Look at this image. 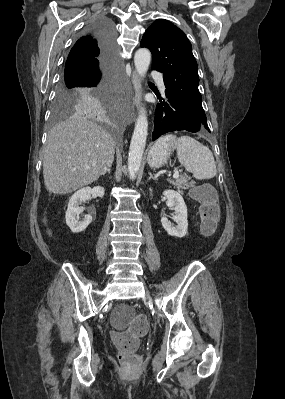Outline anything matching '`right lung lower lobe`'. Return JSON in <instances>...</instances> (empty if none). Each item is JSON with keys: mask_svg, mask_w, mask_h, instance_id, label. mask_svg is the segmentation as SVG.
Listing matches in <instances>:
<instances>
[{"mask_svg": "<svg viewBox=\"0 0 285 399\" xmlns=\"http://www.w3.org/2000/svg\"><path fill=\"white\" fill-rule=\"evenodd\" d=\"M93 32L100 45L101 56L97 62L83 61L65 67L62 81L73 83L95 91L111 88L115 73L116 35L111 21L101 19L94 22L87 30ZM93 110L101 107V102H89Z\"/></svg>", "mask_w": 285, "mask_h": 399, "instance_id": "98d812e1", "label": "right lung lower lobe"}]
</instances>
